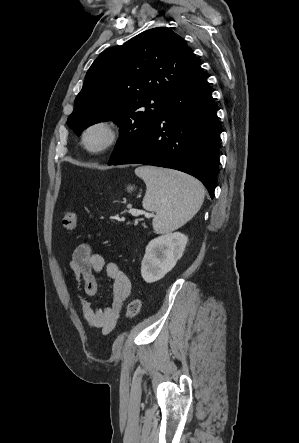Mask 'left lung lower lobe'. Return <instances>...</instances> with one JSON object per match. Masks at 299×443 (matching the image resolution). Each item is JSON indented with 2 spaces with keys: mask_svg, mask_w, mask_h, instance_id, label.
I'll use <instances>...</instances> for the list:
<instances>
[{
  "mask_svg": "<svg viewBox=\"0 0 299 443\" xmlns=\"http://www.w3.org/2000/svg\"><path fill=\"white\" fill-rule=\"evenodd\" d=\"M219 125L206 76L198 66L173 92L155 124L109 165L148 164L199 179L211 198L217 182Z\"/></svg>",
  "mask_w": 299,
  "mask_h": 443,
  "instance_id": "1",
  "label": "left lung lower lobe"
}]
</instances>
